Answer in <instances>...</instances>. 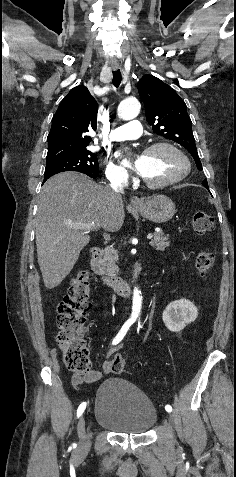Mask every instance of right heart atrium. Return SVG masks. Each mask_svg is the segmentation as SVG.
Returning a JSON list of instances; mask_svg holds the SVG:
<instances>
[{
	"label": "right heart atrium",
	"instance_id": "d8ad5b80",
	"mask_svg": "<svg viewBox=\"0 0 236 477\" xmlns=\"http://www.w3.org/2000/svg\"><path fill=\"white\" fill-rule=\"evenodd\" d=\"M105 175L108 181L113 184H122L129 179L127 171L111 161L106 163Z\"/></svg>",
	"mask_w": 236,
	"mask_h": 477
}]
</instances>
